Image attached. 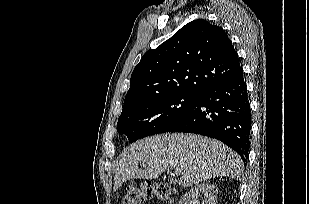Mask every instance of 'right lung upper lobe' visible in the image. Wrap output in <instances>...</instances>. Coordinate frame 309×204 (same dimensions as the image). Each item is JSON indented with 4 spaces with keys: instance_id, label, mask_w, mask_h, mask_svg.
I'll use <instances>...</instances> for the list:
<instances>
[{
    "instance_id": "right-lung-upper-lobe-1",
    "label": "right lung upper lobe",
    "mask_w": 309,
    "mask_h": 204,
    "mask_svg": "<svg viewBox=\"0 0 309 204\" xmlns=\"http://www.w3.org/2000/svg\"><path fill=\"white\" fill-rule=\"evenodd\" d=\"M241 68L226 32L204 19L187 23L135 67L124 104L170 93L200 95Z\"/></svg>"
}]
</instances>
